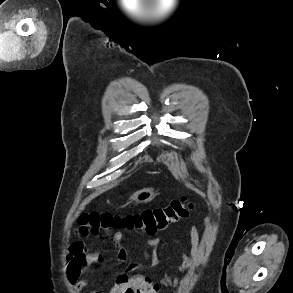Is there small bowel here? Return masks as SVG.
Wrapping results in <instances>:
<instances>
[{
    "label": "small bowel",
    "mask_w": 293,
    "mask_h": 293,
    "mask_svg": "<svg viewBox=\"0 0 293 293\" xmlns=\"http://www.w3.org/2000/svg\"><path fill=\"white\" fill-rule=\"evenodd\" d=\"M204 224L210 226L211 220L205 218ZM167 226L154 231L145 232L146 242L152 247V252L142 251V254L150 267H156L159 264L156 249L160 244V240L156 238L155 235L164 230ZM125 236L126 235L122 232L112 235L111 241L114 244L112 249L90 250L83 240L75 241L69 246L66 280L77 293H81L91 286L89 281L80 279L81 274L90 273L91 267L93 266L105 267L108 258L126 263L129 269L133 270L135 266L129 262L127 251L122 245ZM190 243L191 248L189 253H181V264L177 268L179 272L185 271L194 262L198 261L203 254L201 234L199 229L194 225L190 227ZM181 281V279L165 275L161 278L159 284L162 286H177ZM159 284L152 282L143 275L128 276L122 274L117 277L115 283L107 291L93 290L90 293H158Z\"/></svg>",
    "instance_id": "c3829d8e"
}]
</instances>
